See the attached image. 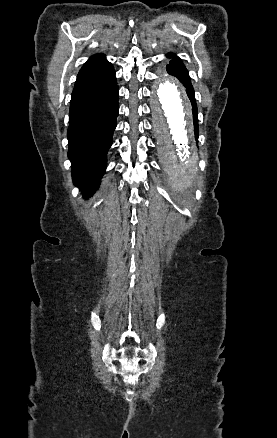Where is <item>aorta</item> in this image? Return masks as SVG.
Segmentation results:
<instances>
[{
  "label": "aorta",
  "instance_id": "obj_1",
  "mask_svg": "<svg viewBox=\"0 0 277 438\" xmlns=\"http://www.w3.org/2000/svg\"><path fill=\"white\" fill-rule=\"evenodd\" d=\"M152 94L154 128L165 170L173 187L189 189L198 172L190 105L166 73H159Z\"/></svg>",
  "mask_w": 277,
  "mask_h": 438
}]
</instances>
